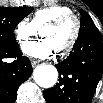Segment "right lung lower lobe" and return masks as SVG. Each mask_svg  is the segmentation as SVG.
Masks as SVG:
<instances>
[{
    "mask_svg": "<svg viewBox=\"0 0 103 103\" xmlns=\"http://www.w3.org/2000/svg\"><path fill=\"white\" fill-rule=\"evenodd\" d=\"M14 58L11 63L4 59ZM32 73L30 60L22 56L17 45H0V103H13L17 98V90Z\"/></svg>",
    "mask_w": 103,
    "mask_h": 103,
    "instance_id": "right-lung-lower-lobe-1",
    "label": "right lung lower lobe"
}]
</instances>
